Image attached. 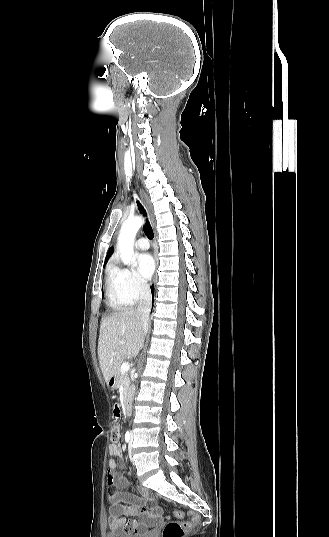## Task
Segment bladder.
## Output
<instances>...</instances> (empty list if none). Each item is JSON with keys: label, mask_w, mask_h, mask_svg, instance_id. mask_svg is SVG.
Wrapping results in <instances>:
<instances>
[{"label": "bladder", "mask_w": 329, "mask_h": 537, "mask_svg": "<svg viewBox=\"0 0 329 537\" xmlns=\"http://www.w3.org/2000/svg\"><path fill=\"white\" fill-rule=\"evenodd\" d=\"M106 537H153V535L149 532L137 534V535H130V534L123 533L121 531H109Z\"/></svg>", "instance_id": "1"}]
</instances>
